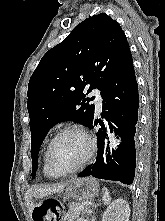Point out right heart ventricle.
<instances>
[{"instance_id": "obj_1", "label": "right heart ventricle", "mask_w": 165, "mask_h": 221, "mask_svg": "<svg viewBox=\"0 0 165 221\" xmlns=\"http://www.w3.org/2000/svg\"><path fill=\"white\" fill-rule=\"evenodd\" d=\"M42 171H43V174L46 176V177H56L57 175H55L54 173H52L50 171V169L48 168L47 166V163H46V159H45V152H44V155H43V164H42Z\"/></svg>"}]
</instances>
